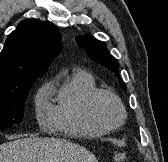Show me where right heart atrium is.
Listing matches in <instances>:
<instances>
[{
  "label": "right heart atrium",
  "mask_w": 168,
  "mask_h": 162,
  "mask_svg": "<svg viewBox=\"0 0 168 162\" xmlns=\"http://www.w3.org/2000/svg\"><path fill=\"white\" fill-rule=\"evenodd\" d=\"M47 87L42 88L36 97V117L40 124L46 125L51 122L53 107L46 100Z\"/></svg>",
  "instance_id": "right-heart-atrium-1"
}]
</instances>
